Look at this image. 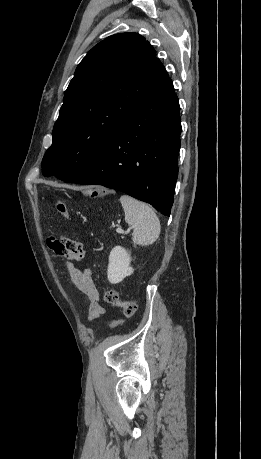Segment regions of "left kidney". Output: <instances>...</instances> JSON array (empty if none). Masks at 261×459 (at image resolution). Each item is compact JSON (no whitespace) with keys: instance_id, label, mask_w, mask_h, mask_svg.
Returning a JSON list of instances; mask_svg holds the SVG:
<instances>
[{"instance_id":"5707ae66","label":"left kidney","mask_w":261,"mask_h":459,"mask_svg":"<svg viewBox=\"0 0 261 459\" xmlns=\"http://www.w3.org/2000/svg\"><path fill=\"white\" fill-rule=\"evenodd\" d=\"M130 253L121 246L114 247L109 255L107 277L110 283L117 284L133 273L130 267Z\"/></svg>"}]
</instances>
